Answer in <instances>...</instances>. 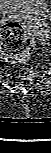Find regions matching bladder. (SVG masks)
Returning <instances> with one entry per match:
<instances>
[{"label":"bladder","instance_id":"bladder-1","mask_svg":"<svg viewBox=\"0 0 51 153\" xmlns=\"http://www.w3.org/2000/svg\"><path fill=\"white\" fill-rule=\"evenodd\" d=\"M0 7L7 14L47 18L50 13L45 0H0Z\"/></svg>","mask_w":51,"mask_h":153}]
</instances>
